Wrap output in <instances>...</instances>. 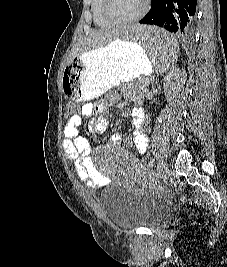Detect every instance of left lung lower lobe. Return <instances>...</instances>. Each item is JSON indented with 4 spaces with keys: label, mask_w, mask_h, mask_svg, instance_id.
Instances as JSON below:
<instances>
[{
    "label": "left lung lower lobe",
    "mask_w": 227,
    "mask_h": 267,
    "mask_svg": "<svg viewBox=\"0 0 227 267\" xmlns=\"http://www.w3.org/2000/svg\"><path fill=\"white\" fill-rule=\"evenodd\" d=\"M196 4L197 0H152L151 10L139 23L160 26L187 38L193 31ZM153 43L160 45L161 40Z\"/></svg>",
    "instance_id": "1"
}]
</instances>
